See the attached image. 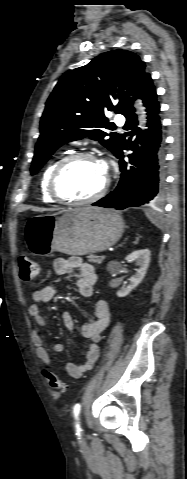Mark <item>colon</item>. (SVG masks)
Segmentation results:
<instances>
[{"mask_svg": "<svg viewBox=\"0 0 187 479\" xmlns=\"http://www.w3.org/2000/svg\"><path fill=\"white\" fill-rule=\"evenodd\" d=\"M19 274L22 281L25 283L33 282L39 273L37 263L25 255H20L18 258ZM45 377L50 387L59 392L66 391L67 384L54 371L46 370Z\"/></svg>", "mask_w": 187, "mask_h": 479, "instance_id": "obj_1", "label": "colon"}]
</instances>
